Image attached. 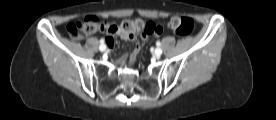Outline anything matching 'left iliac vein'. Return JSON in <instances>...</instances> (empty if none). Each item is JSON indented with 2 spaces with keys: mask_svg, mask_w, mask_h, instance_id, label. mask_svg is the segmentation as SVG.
<instances>
[{
  "mask_svg": "<svg viewBox=\"0 0 276 120\" xmlns=\"http://www.w3.org/2000/svg\"><path fill=\"white\" fill-rule=\"evenodd\" d=\"M162 52H163L162 49L159 47L155 49L156 56H160L162 54Z\"/></svg>",
  "mask_w": 276,
  "mask_h": 120,
  "instance_id": "4c4485c4",
  "label": "left iliac vein"
}]
</instances>
